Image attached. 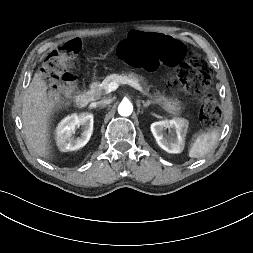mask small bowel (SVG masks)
Returning <instances> with one entry per match:
<instances>
[{
    "label": "small bowel",
    "mask_w": 253,
    "mask_h": 253,
    "mask_svg": "<svg viewBox=\"0 0 253 253\" xmlns=\"http://www.w3.org/2000/svg\"><path fill=\"white\" fill-rule=\"evenodd\" d=\"M153 35H154V34H153ZM160 61L165 62V61L162 59V56H161L158 52H156V53L154 54V66L157 65ZM165 63H166V62H165Z\"/></svg>",
    "instance_id": "obj_1"
}]
</instances>
